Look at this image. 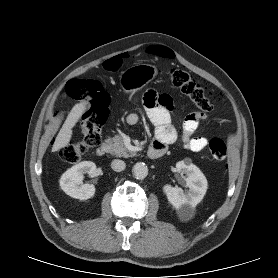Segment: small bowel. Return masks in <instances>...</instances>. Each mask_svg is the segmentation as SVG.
<instances>
[{"label": "small bowel", "mask_w": 278, "mask_h": 278, "mask_svg": "<svg viewBox=\"0 0 278 278\" xmlns=\"http://www.w3.org/2000/svg\"><path fill=\"white\" fill-rule=\"evenodd\" d=\"M143 104L147 115L155 128V141L165 148L176 142L178 132L171 122L169 110L172 108V98L167 94L159 95L154 90H149L143 97ZM206 112H192L186 116L182 125L181 142L183 146L193 152L204 150L208 145V139L202 136H193L201 121L206 120ZM127 123L135 125L139 121L136 113L127 116Z\"/></svg>", "instance_id": "1"}]
</instances>
